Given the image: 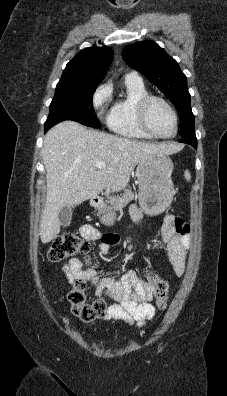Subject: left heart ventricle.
<instances>
[{"mask_svg":"<svg viewBox=\"0 0 227 396\" xmlns=\"http://www.w3.org/2000/svg\"><path fill=\"white\" fill-rule=\"evenodd\" d=\"M148 121L152 129L160 135L168 136L174 133V118L169 109L159 101L150 104Z\"/></svg>","mask_w":227,"mask_h":396,"instance_id":"obj_1","label":"left heart ventricle"}]
</instances>
